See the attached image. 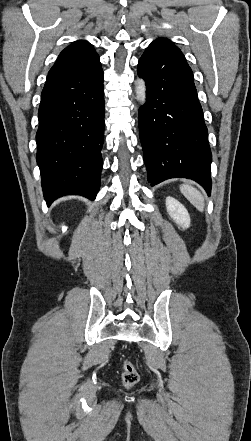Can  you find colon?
Instances as JSON below:
<instances>
[{
	"instance_id": "1",
	"label": "colon",
	"mask_w": 251,
	"mask_h": 441,
	"mask_svg": "<svg viewBox=\"0 0 251 441\" xmlns=\"http://www.w3.org/2000/svg\"><path fill=\"white\" fill-rule=\"evenodd\" d=\"M122 384L126 388L133 387L139 381V374L135 366L128 360L122 361Z\"/></svg>"
}]
</instances>
